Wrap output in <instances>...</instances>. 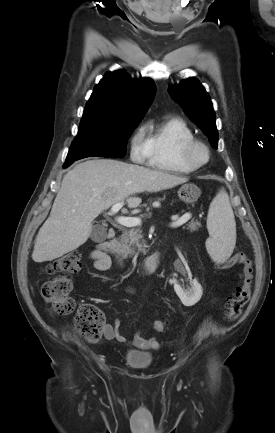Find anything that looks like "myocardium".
Instances as JSON below:
<instances>
[{"label":"myocardium","instance_id":"obj_1","mask_svg":"<svg viewBox=\"0 0 275 433\" xmlns=\"http://www.w3.org/2000/svg\"><path fill=\"white\" fill-rule=\"evenodd\" d=\"M198 150L203 151L205 155L204 159H199L197 157ZM181 156L187 165L194 168H200L209 162L211 153L209 146L205 142L199 139H193L182 146Z\"/></svg>","mask_w":275,"mask_h":433}]
</instances>
